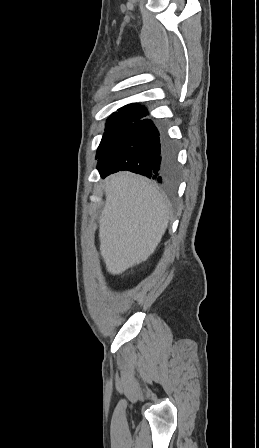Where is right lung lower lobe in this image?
Instances as JSON below:
<instances>
[{
	"instance_id": "obj_1",
	"label": "right lung lower lobe",
	"mask_w": 259,
	"mask_h": 448,
	"mask_svg": "<svg viewBox=\"0 0 259 448\" xmlns=\"http://www.w3.org/2000/svg\"><path fill=\"white\" fill-rule=\"evenodd\" d=\"M102 178L119 170H128L171 183L177 176L176 146L160 133L150 119L131 124L98 159Z\"/></svg>"
}]
</instances>
